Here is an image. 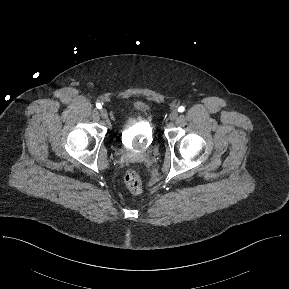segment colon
Masks as SVG:
<instances>
[{
	"label": "colon",
	"instance_id": "1",
	"mask_svg": "<svg viewBox=\"0 0 289 289\" xmlns=\"http://www.w3.org/2000/svg\"><path fill=\"white\" fill-rule=\"evenodd\" d=\"M136 107L141 110H146V105L143 103H137ZM150 132L151 129L148 127L146 134ZM124 182L131 194L140 195L143 192L142 180L137 172L133 170L127 171L124 175Z\"/></svg>",
	"mask_w": 289,
	"mask_h": 289
}]
</instances>
